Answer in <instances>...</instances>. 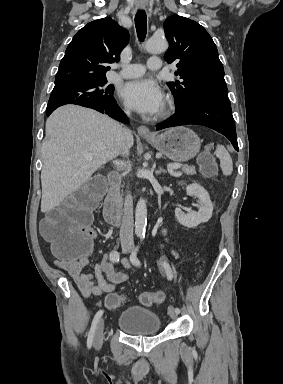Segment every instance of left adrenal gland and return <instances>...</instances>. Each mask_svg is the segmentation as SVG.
Wrapping results in <instances>:
<instances>
[{"mask_svg":"<svg viewBox=\"0 0 283 384\" xmlns=\"http://www.w3.org/2000/svg\"><path fill=\"white\" fill-rule=\"evenodd\" d=\"M155 174L159 176V174H167L166 170H163V168H159V170H156Z\"/></svg>","mask_w":283,"mask_h":384,"instance_id":"1","label":"left adrenal gland"}]
</instances>
